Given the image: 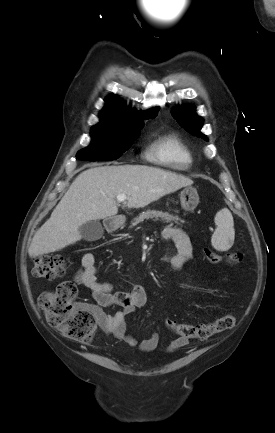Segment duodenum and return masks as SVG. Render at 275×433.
I'll use <instances>...</instances> for the list:
<instances>
[{
    "label": "duodenum",
    "mask_w": 275,
    "mask_h": 433,
    "mask_svg": "<svg viewBox=\"0 0 275 433\" xmlns=\"http://www.w3.org/2000/svg\"><path fill=\"white\" fill-rule=\"evenodd\" d=\"M104 226L108 232H114L118 228V223L113 219H106L104 221Z\"/></svg>",
    "instance_id": "obj_1"
}]
</instances>
